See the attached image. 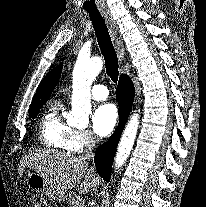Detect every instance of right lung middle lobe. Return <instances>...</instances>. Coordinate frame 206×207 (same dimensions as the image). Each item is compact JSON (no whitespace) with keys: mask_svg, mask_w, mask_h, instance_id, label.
I'll list each match as a JSON object with an SVG mask.
<instances>
[{"mask_svg":"<svg viewBox=\"0 0 206 207\" xmlns=\"http://www.w3.org/2000/svg\"><path fill=\"white\" fill-rule=\"evenodd\" d=\"M43 105L41 106H38V107H35V108H32V109H29V117L30 118H35L39 112V109L42 107Z\"/></svg>","mask_w":206,"mask_h":207,"instance_id":"right-lung-middle-lobe-1","label":"right lung middle lobe"}]
</instances>
